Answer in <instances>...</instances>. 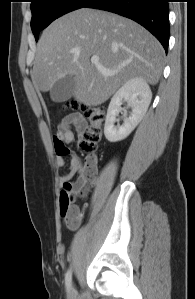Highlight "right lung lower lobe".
<instances>
[{
	"label": "right lung lower lobe",
	"mask_w": 195,
	"mask_h": 299,
	"mask_svg": "<svg viewBox=\"0 0 195 299\" xmlns=\"http://www.w3.org/2000/svg\"><path fill=\"white\" fill-rule=\"evenodd\" d=\"M84 7L110 11L136 21L151 32L167 52L168 0H90Z\"/></svg>",
	"instance_id": "98d812e1"
}]
</instances>
